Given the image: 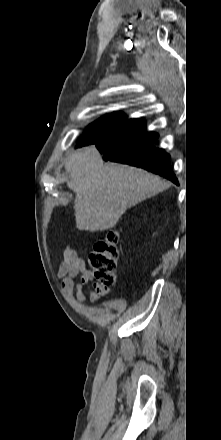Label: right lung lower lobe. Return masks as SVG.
<instances>
[{
  "label": "right lung lower lobe",
  "mask_w": 221,
  "mask_h": 440,
  "mask_svg": "<svg viewBox=\"0 0 221 440\" xmlns=\"http://www.w3.org/2000/svg\"><path fill=\"white\" fill-rule=\"evenodd\" d=\"M145 130L144 120L129 119L94 144L105 161L140 167L178 184L170 165V156L151 144L158 134Z\"/></svg>",
  "instance_id": "98d812e1"
}]
</instances>
